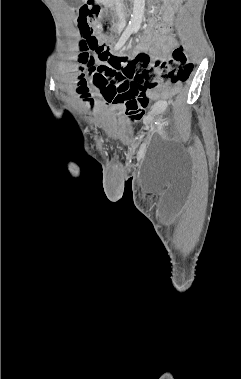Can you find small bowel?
<instances>
[{
  "instance_id": "1",
  "label": "small bowel",
  "mask_w": 241,
  "mask_h": 379,
  "mask_svg": "<svg viewBox=\"0 0 241 379\" xmlns=\"http://www.w3.org/2000/svg\"><path fill=\"white\" fill-rule=\"evenodd\" d=\"M171 1L172 5L165 7L167 18L171 17L173 9L178 6L180 0ZM175 45L176 40L168 32V29L164 26H158L146 35L143 48L150 49L154 57L165 60L170 57ZM176 93V88L156 91V87L150 86V83H139L136 89L116 92L109 101L112 102L115 111L123 115L126 122L134 124L143 118H151V115L145 116L147 110L150 109L151 98L162 104ZM156 112L158 110L154 109V113Z\"/></svg>"
}]
</instances>
